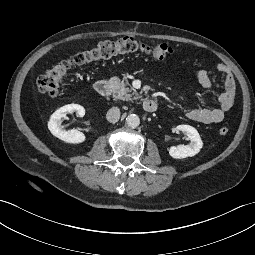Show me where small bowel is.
Here are the masks:
<instances>
[{"mask_svg":"<svg viewBox=\"0 0 255 255\" xmlns=\"http://www.w3.org/2000/svg\"><path fill=\"white\" fill-rule=\"evenodd\" d=\"M216 70L224 74V89L218 95L219 106L217 108L201 107L190 110L187 117L202 124H213L221 122L226 113L232 108L236 98L235 79L231 69L222 63L216 65ZM195 76L199 83L206 89L213 88V80L209 74L202 69L195 71Z\"/></svg>","mask_w":255,"mask_h":255,"instance_id":"c3829d8e","label":"small bowel"}]
</instances>
